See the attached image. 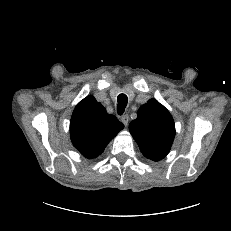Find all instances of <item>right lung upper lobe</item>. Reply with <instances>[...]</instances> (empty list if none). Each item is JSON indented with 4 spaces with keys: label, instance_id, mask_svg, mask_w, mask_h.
<instances>
[{
    "label": "right lung upper lobe",
    "instance_id": "1",
    "mask_svg": "<svg viewBox=\"0 0 231 231\" xmlns=\"http://www.w3.org/2000/svg\"><path fill=\"white\" fill-rule=\"evenodd\" d=\"M124 125L93 96H87L75 107L70 121L74 147L86 158L99 156Z\"/></svg>",
    "mask_w": 231,
    "mask_h": 231
}]
</instances>
